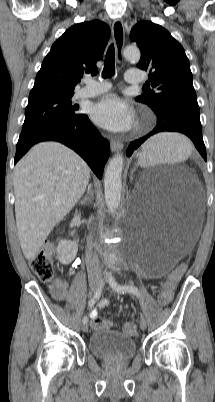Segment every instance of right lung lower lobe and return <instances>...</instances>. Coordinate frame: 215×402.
I'll return each mask as SVG.
<instances>
[{"instance_id":"98d812e1","label":"right lung lower lobe","mask_w":215,"mask_h":402,"mask_svg":"<svg viewBox=\"0 0 215 402\" xmlns=\"http://www.w3.org/2000/svg\"><path fill=\"white\" fill-rule=\"evenodd\" d=\"M42 141H58L70 147L87 162L98 178H102L104 165L110 155V145L101 137L87 115L42 132L26 143L17 144L15 163L34 144Z\"/></svg>"}]
</instances>
